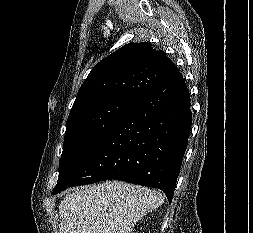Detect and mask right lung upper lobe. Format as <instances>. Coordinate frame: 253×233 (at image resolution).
I'll return each instance as SVG.
<instances>
[{"instance_id":"cb5924a9","label":"right lung upper lobe","mask_w":253,"mask_h":233,"mask_svg":"<svg viewBox=\"0 0 253 233\" xmlns=\"http://www.w3.org/2000/svg\"><path fill=\"white\" fill-rule=\"evenodd\" d=\"M177 72L166 54L153 49L150 43H129L92 69L79 89L71 111L111 97L136 100Z\"/></svg>"}]
</instances>
